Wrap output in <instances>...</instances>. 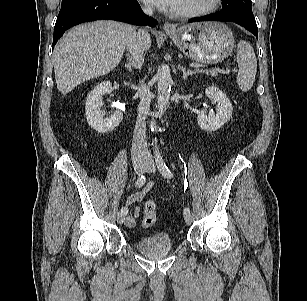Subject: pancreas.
Wrapping results in <instances>:
<instances>
[{
    "label": "pancreas",
    "instance_id": "pancreas-1",
    "mask_svg": "<svg viewBox=\"0 0 307 301\" xmlns=\"http://www.w3.org/2000/svg\"><path fill=\"white\" fill-rule=\"evenodd\" d=\"M195 72L206 73L208 76L217 77L218 70L217 69H196Z\"/></svg>",
    "mask_w": 307,
    "mask_h": 301
}]
</instances>
